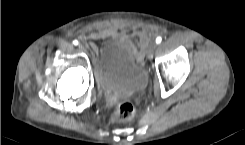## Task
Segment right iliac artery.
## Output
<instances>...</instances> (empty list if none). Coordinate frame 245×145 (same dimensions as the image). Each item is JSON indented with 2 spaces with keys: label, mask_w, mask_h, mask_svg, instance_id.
<instances>
[{
  "label": "right iliac artery",
  "mask_w": 245,
  "mask_h": 145,
  "mask_svg": "<svg viewBox=\"0 0 245 145\" xmlns=\"http://www.w3.org/2000/svg\"><path fill=\"white\" fill-rule=\"evenodd\" d=\"M73 44H74V45H78V41H77V40H74V41H73Z\"/></svg>",
  "instance_id": "82829eb1"
}]
</instances>
